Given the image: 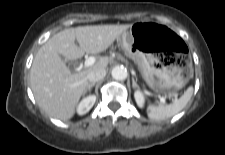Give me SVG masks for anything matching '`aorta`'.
Wrapping results in <instances>:
<instances>
[{"label": "aorta", "mask_w": 225, "mask_h": 155, "mask_svg": "<svg viewBox=\"0 0 225 155\" xmlns=\"http://www.w3.org/2000/svg\"><path fill=\"white\" fill-rule=\"evenodd\" d=\"M111 75L115 80L122 81L127 78L128 73H127V69L125 67L116 66L112 69Z\"/></svg>", "instance_id": "762f6f07"}]
</instances>
